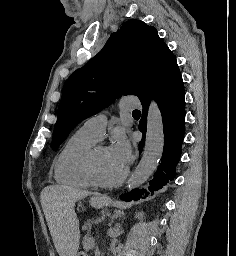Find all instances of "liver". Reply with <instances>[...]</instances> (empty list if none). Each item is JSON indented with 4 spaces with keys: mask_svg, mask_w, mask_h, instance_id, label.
<instances>
[{
    "mask_svg": "<svg viewBox=\"0 0 236 256\" xmlns=\"http://www.w3.org/2000/svg\"><path fill=\"white\" fill-rule=\"evenodd\" d=\"M90 192L68 186H47L41 192V204L48 228L60 256H76L80 242L79 220L75 202Z\"/></svg>",
    "mask_w": 236,
    "mask_h": 256,
    "instance_id": "obj_1",
    "label": "liver"
}]
</instances>
